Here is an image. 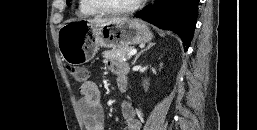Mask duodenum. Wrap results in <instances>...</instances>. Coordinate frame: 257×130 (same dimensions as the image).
Listing matches in <instances>:
<instances>
[{"label": "duodenum", "instance_id": "1", "mask_svg": "<svg viewBox=\"0 0 257 130\" xmlns=\"http://www.w3.org/2000/svg\"><path fill=\"white\" fill-rule=\"evenodd\" d=\"M119 89H120L121 91H125V89H126V83H120V84H119Z\"/></svg>", "mask_w": 257, "mask_h": 130}]
</instances>
